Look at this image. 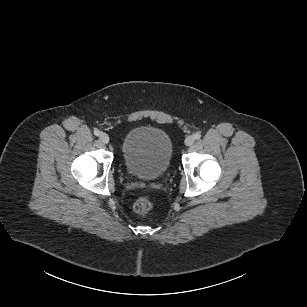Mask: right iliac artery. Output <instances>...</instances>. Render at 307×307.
Instances as JSON below:
<instances>
[{
    "label": "right iliac artery",
    "mask_w": 307,
    "mask_h": 307,
    "mask_svg": "<svg viewBox=\"0 0 307 307\" xmlns=\"http://www.w3.org/2000/svg\"><path fill=\"white\" fill-rule=\"evenodd\" d=\"M94 135L99 136L100 135V131L98 129L94 130Z\"/></svg>",
    "instance_id": "right-iliac-artery-1"
}]
</instances>
